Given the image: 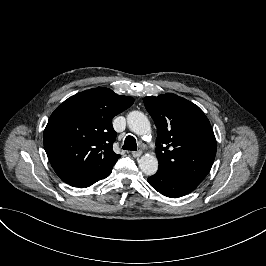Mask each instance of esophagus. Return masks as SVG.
<instances>
[{
    "instance_id": "34e87169",
    "label": "esophagus",
    "mask_w": 266,
    "mask_h": 266,
    "mask_svg": "<svg viewBox=\"0 0 266 266\" xmlns=\"http://www.w3.org/2000/svg\"><path fill=\"white\" fill-rule=\"evenodd\" d=\"M131 154H132L133 157L138 158V157H140L142 155V151L141 150L132 151Z\"/></svg>"
}]
</instances>
